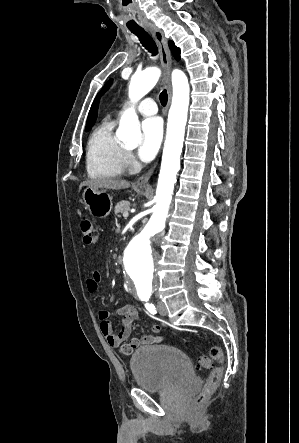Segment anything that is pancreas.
<instances>
[{"label": "pancreas", "mask_w": 299, "mask_h": 443, "mask_svg": "<svg viewBox=\"0 0 299 443\" xmlns=\"http://www.w3.org/2000/svg\"><path fill=\"white\" fill-rule=\"evenodd\" d=\"M129 207H130V202L121 201V202L117 203V205L115 206L114 213H115V215H117L119 213L128 212Z\"/></svg>", "instance_id": "cf45deb5"}]
</instances>
